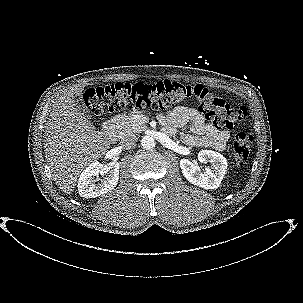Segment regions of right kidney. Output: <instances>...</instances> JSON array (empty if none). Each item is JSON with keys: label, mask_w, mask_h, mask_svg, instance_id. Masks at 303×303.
Returning a JSON list of instances; mask_svg holds the SVG:
<instances>
[{"label": "right kidney", "mask_w": 303, "mask_h": 303, "mask_svg": "<svg viewBox=\"0 0 303 303\" xmlns=\"http://www.w3.org/2000/svg\"><path fill=\"white\" fill-rule=\"evenodd\" d=\"M119 167L118 162L107 164L92 162L80 174L78 179L79 194L85 198H96L115 188L119 179ZM99 174L105 177L101 182L96 183V177Z\"/></svg>", "instance_id": "ca27d5eb"}]
</instances>
